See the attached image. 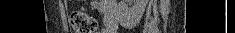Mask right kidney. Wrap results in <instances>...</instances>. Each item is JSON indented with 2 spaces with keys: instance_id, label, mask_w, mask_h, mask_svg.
<instances>
[{
  "instance_id": "ca27d5eb",
  "label": "right kidney",
  "mask_w": 235,
  "mask_h": 33,
  "mask_svg": "<svg viewBox=\"0 0 235 33\" xmlns=\"http://www.w3.org/2000/svg\"><path fill=\"white\" fill-rule=\"evenodd\" d=\"M147 2L148 0H134L132 8L126 9V11H120V22L124 24L131 19L135 22L139 21L145 11Z\"/></svg>"
}]
</instances>
